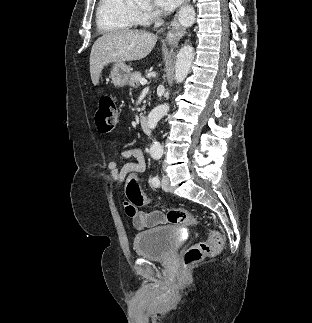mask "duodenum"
I'll list each match as a JSON object with an SVG mask.
<instances>
[{"label": "duodenum", "instance_id": "410a0bca", "mask_svg": "<svg viewBox=\"0 0 312 323\" xmlns=\"http://www.w3.org/2000/svg\"><path fill=\"white\" fill-rule=\"evenodd\" d=\"M138 122L142 131L150 132V127L146 116L141 115L138 119Z\"/></svg>", "mask_w": 312, "mask_h": 323}]
</instances>
